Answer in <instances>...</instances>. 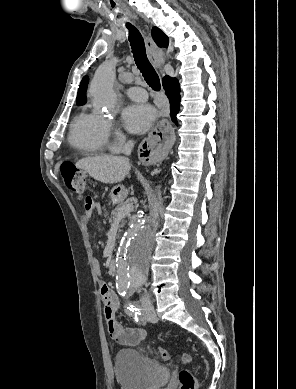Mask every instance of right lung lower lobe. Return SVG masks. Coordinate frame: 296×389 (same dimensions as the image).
Listing matches in <instances>:
<instances>
[{
  "instance_id": "obj_1",
  "label": "right lung lower lobe",
  "mask_w": 296,
  "mask_h": 389,
  "mask_svg": "<svg viewBox=\"0 0 296 389\" xmlns=\"http://www.w3.org/2000/svg\"><path fill=\"white\" fill-rule=\"evenodd\" d=\"M162 84L170 101L171 119L177 125L176 116L180 109V87L178 80L167 76L162 80Z\"/></svg>"
}]
</instances>
